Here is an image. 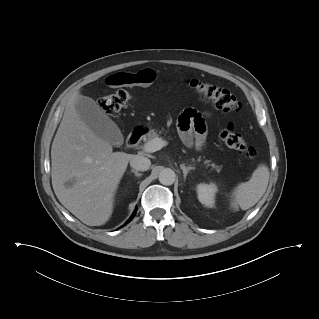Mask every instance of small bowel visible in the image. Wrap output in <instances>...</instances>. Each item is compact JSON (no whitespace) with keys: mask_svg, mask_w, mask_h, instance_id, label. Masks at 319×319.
I'll use <instances>...</instances> for the list:
<instances>
[{"mask_svg":"<svg viewBox=\"0 0 319 319\" xmlns=\"http://www.w3.org/2000/svg\"><path fill=\"white\" fill-rule=\"evenodd\" d=\"M140 80L139 85L148 87L156 79V74L152 69H144L131 75ZM111 85V84H110ZM178 129L183 142L187 146L201 148L205 143L206 122L205 117L194 109H186L179 117Z\"/></svg>","mask_w":319,"mask_h":319,"instance_id":"obj_1","label":"small bowel"}]
</instances>
